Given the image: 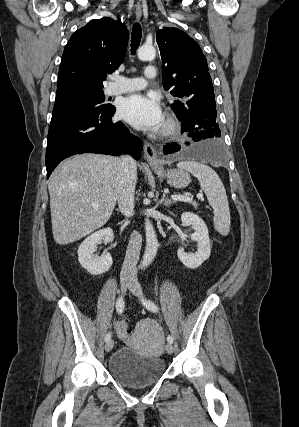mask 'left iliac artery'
<instances>
[{"label": "left iliac artery", "mask_w": 299, "mask_h": 427, "mask_svg": "<svg viewBox=\"0 0 299 427\" xmlns=\"http://www.w3.org/2000/svg\"><path fill=\"white\" fill-rule=\"evenodd\" d=\"M142 304L149 309L152 312H157L158 311V307L156 306V304L154 302H152L151 300H147V299H142ZM167 341L169 343H173L174 339L171 335H169L167 337Z\"/></svg>", "instance_id": "obj_1"}]
</instances>
